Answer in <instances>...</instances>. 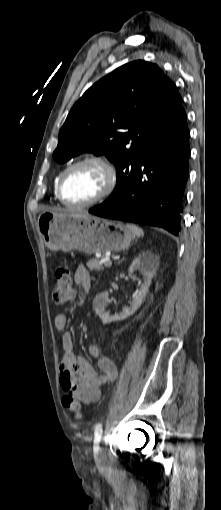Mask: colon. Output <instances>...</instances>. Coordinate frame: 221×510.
<instances>
[{
	"label": "colon",
	"mask_w": 221,
	"mask_h": 510,
	"mask_svg": "<svg viewBox=\"0 0 221 510\" xmlns=\"http://www.w3.org/2000/svg\"><path fill=\"white\" fill-rule=\"evenodd\" d=\"M75 295L70 268L67 265L59 266L55 271V287L53 292V300L57 305H63L72 299ZM63 405L67 408L75 418H81L82 407L77 399L71 395L63 397Z\"/></svg>",
	"instance_id": "colon-1"
}]
</instances>
